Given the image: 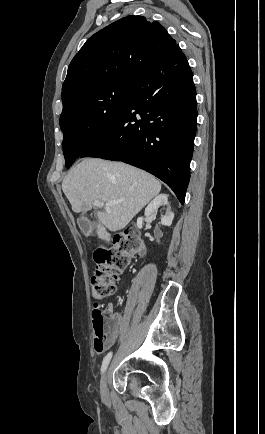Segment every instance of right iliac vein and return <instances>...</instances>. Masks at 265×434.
Returning a JSON list of instances; mask_svg holds the SVG:
<instances>
[{
    "mask_svg": "<svg viewBox=\"0 0 265 434\" xmlns=\"http://www.w3.org/2000/svg\"><path fill=\"white\" fill-rule=\"evenodd\" d=\"M109 377V369L105 372L103 377L101 378L100 388H101V396L105 401H109L107 382Z\"/></svg>",
    "mask_w": 265,
    "mask_h": 434,
    "instance_id": "1",
    "label": "right iliac vein"
}]
</instances>
